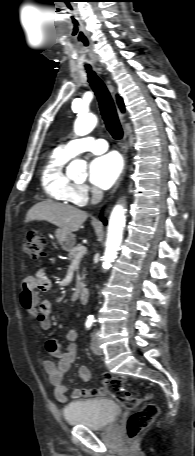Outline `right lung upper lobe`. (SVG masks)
I'll list each match as a JSON object with an SVG mask.
<instances>
[{"mask_svg": "<svg viewBox=\"0 0 195 456\" xmlns=\"http://www.w3.org/2000/svg\"><path fill=\"white\" fill-rule=\"evenodd\" d=\"M117 101H118V104H119V107H120L121 111L123 112L124 111V104H123L122 99L119 96H117Z\"/></svg>", "mask_w": 195, "mask_h": 456, "instance_id": "1", "label": "right lung upper lobe"}]
</instances>
